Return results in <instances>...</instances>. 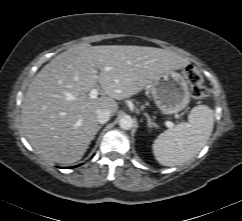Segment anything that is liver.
Listing matches in <instances>:
<instances>
[{"label":"liver","instance_id":"1","mask_svg":"<svg viewBox=\"0 0 242 221\" xmlns=\"http://www.w3.org/2000/svg\"><path fill=\"white\" fill-rule=\"evenodd\" d=\"M188 64L187 59L166 49L76 44L33 78L22 104L23 132L43 159L75 163L98 131V109L114 115L116 100L131 97L159 75ZM98 86L102 96L90 98L88 92Z\"/></svg>","mask_w":242,"mask_h":221}]
</instances>
